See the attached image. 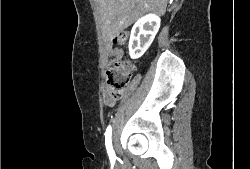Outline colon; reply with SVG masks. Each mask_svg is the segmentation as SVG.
I'll use <instances>...</instances> for the list:
<instances>
[{
  "label": "colon",
  "mask_w": 250,
  "mask_h": 169,
  "mask_svg": "<svg viewBox=\"0 0 250 169\" xmlns=\"http://www.w3.org/2000/svg\"><path fill=\"white\" fill-rule=\"evenodd\" d=\"M113 42L122 46L127 43L128 34H113ZM134 64L129 60H117L107 71L106 81L110 95L123 97L134 71Z\"/></svg>",
  "instance_id": "colon-1"
}]
</instances>
